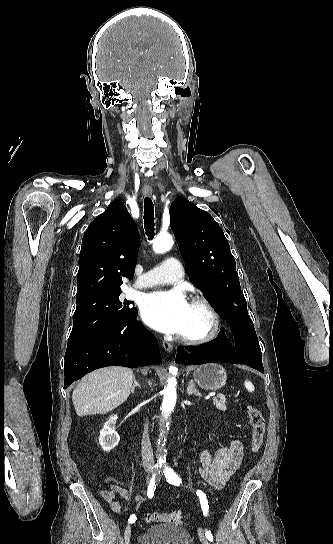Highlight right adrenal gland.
I'll list each match as a JSON object with an SVG mask.
<instances>
[{"label":"right adrenal gland","mask_w":333,"mask_h":544,"mask_svg":"<svg viewBox=\"0 0 333 544\" xmlns=\"http://www.w3.org/2000/svg\"><path fill=\"white\" fill-rule=\"evenodd\" d=\"M133 381H134V384H133V386H132V388H131V393H132V394L134 393L136 387L141 388V385H140V384L138 383V381L136 380L135 375L133 376Z\"/></svg>","instance_id":"obj_1"}]
</instances>
